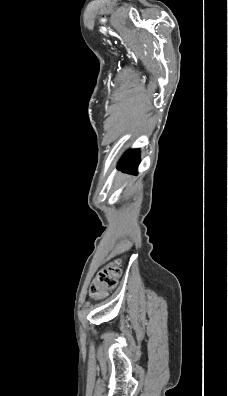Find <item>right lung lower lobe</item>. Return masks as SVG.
<instances>
[{"label": "right lung lower lobe", "mask_w": 228, "mask_h": 396, "mask_svg": "<svg viewBox=\"0 0 228 396\" xmlns=\"http://www.w3.org/2000/svg\"><path fill=\"white\" fill-rule=\"evenodd\" d=\"M139 164V149L128 151L118 164V169L123 172L136 174Z\"/></svg>", "instance_id": "right-lung-lower-lobe-1"}]
</instances>
